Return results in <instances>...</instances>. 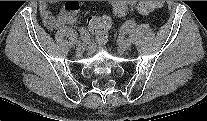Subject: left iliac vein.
<instances>
[{
  "instance_id": "left-iliac-vein-1",
  "label": "left iliac vein",
  "mask_w": 207,
  "mask_h": 121,
  "mask_svg": "<svg viewBox=\"0 0 207 121\" xmlns=\"http://www.w3.org/2000/svg\"><path fill=\"white\" fill-rule=\"evenodd\" d=\"M120 48L122 50H129L131 48V41L128 39H123L120 41Z\"/></svg>"
}]
</instances>
